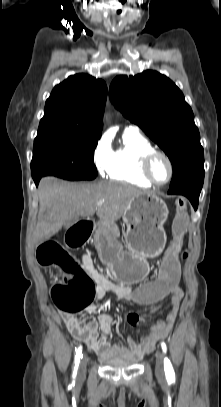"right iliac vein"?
Masks as SVG:
<instances>
[{
    "label": "right iliac vein",
    "instance_id": "63e3f726",
    "mask_svg": "<svg viewBox=\"0 0 221 407\" xmlns=\"http://www.w3.org/2000/svg\"><path fill=\"white\" fill-rule=\"evenodd\" d=\"M87 361H88V359L86 356H84L80 361V364H79V375L80 376L84 375V373L86 371Z\"/></svg>",
    "mask_w": 221,
    "mask_h": 407
}]
</instances>
